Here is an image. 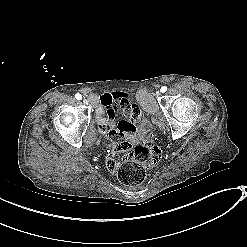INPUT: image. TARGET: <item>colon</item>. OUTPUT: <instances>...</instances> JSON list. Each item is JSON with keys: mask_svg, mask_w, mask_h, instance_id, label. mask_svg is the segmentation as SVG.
I'll list each match as a JSON object with an SVG mask.
<instances>
[{"mask_svg": "<svg viewBox=\"0 0 247 247\" xmlns=\"http://www.w3.org/2000/svg\"><path fill=\"white\" fill-rule=\"evenodd\" d=\"M160 159L159 147L147 138L138 145L126 149L125 155L121 156L117 178L124 185L139 186L147 179L148 170L155 167Z\"/></svg>", "mask_w": 247, "mask_h": 247, "instance_id": "colon-1", "label": "colon"}]
</instances>
